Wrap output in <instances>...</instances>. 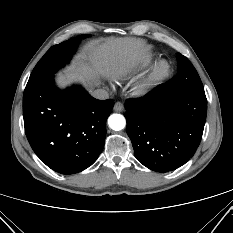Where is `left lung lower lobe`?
I'll return each instance as SVG.
<instances>
[{
    "mask_svg": "<svg viewBox=\"0 0 233 233\" xmlns=\"http://www.w3.org/2000/svg\"><path fill=\"white\" fill-rule=\"evenodd\" d=\"M127 134L136 158L157 172L185 164L198 148L207 114L205 93L159 85L125 102Z\"/></svg>",
    "mask_w": 233,
    "mask_h": 233,
    "instance_id": "left-lung-lower-lobe-1",
    "label": "left lung lower lobe"
}]
</instances>
